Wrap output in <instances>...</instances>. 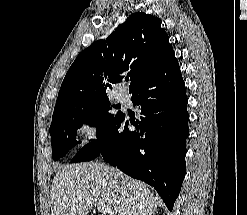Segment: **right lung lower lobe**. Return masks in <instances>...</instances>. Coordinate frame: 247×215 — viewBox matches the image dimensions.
I'll return each mask as SVG.
<instances>
[{
	"label": "right lung lower lobe",
	"instance_id": "obj_1",
	"mask_svg": "<svg viewBox=\"0 0 247 215\" xmlns=\"http://www.w3.org/2000/svg\"><path fill=\"white\" fill-rule=\"evenodd\" d=\"M130 93L133 104L141 109L139 120L130 119L135 130H129L121 113L71 162L91 161L101 155L127 175L153 186L172 211L186 173L189 135L185 83L173 49Z\"/></svg>",
	"mask_w": 247,
	"mask_h": 215
}]
</instances>
